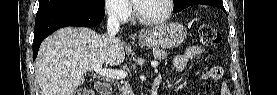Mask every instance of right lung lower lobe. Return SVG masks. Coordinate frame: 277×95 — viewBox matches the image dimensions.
<instances>
[{"instance_id": "right-lung-lower-lobe-1", "label": "right lung lower lobe", "mask_w": 277, "mask_h": 95, "mask_svg": "<svg viewBox=\"0 0 277 95\" xmlns=\"http://www.w3.org/2000/svg\"><path fill=\"white\" fill-rule=\"evenodd\" d=\"M104 9L86 12H52L38 15L35 19L33 60L36 59L41 42L51 33L66 26L92 27L104 18Z\"/></svg>"}]
</instances>
